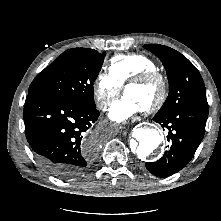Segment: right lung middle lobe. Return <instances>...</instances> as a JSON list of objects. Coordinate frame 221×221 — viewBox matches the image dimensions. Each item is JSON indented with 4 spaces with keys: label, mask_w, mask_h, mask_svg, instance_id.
Returning <instances> with one entry per match:
<instances>
[{
    "label": "right lung middle lobe",
    "mask_w": 221,
    "mask_h": 221,
    "mask_svg": "<svg viewBox=\"0 0 221 221\" xmlns=\"http://www.w3.org/2000/svg\"><path fill=\"white\" fill-rule=\"evenodd\" d=\"M104 55L88 48H74L62 53L40 72L28 93L48 94L79 106L96 108L93 84Z\"/></svg>",
    "instance_id": "right-lung-middle-lobe-1"
}]
</instances>
